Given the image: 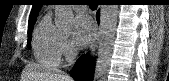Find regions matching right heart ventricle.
Wrapping results in <instances>:
<instances>
[{"label":"right heart ventricle","mask_w":169,"mask_h":81,"mask_svg":"<svg viewBox=\"0 0 169 81\" xmlns=\"http://www.w3.org/2000/svg\"><path fill=\"white\" fill-rule=\"evenodd\" d=\"M62 35L51 23L50 15H45L37 24L33 39L32 50L37 62L48 67H56L60 63Z\"/></svg>","instance_id":"obj_1"}]
</instances>
